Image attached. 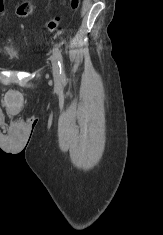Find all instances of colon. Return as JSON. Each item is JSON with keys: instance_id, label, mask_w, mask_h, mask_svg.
Instances as JSON below:
<instances>
[{"instance_id": "1", "label": "colon", "mask_w": 163, "mask_h": 235, "mask_svg": "<svg viewBox=\"0 0 163 235\" xmlns=\"http://www.w3.org/2000/svg\"><path fill=\"white\" fill-rule=\"evenodd\" d=\"M69 6L73 10H77L80 4V0H68ZM34 10V5L32 2H24L20 4L16 8V15L18 17H27L29 16ZM4 11V1L0 0V14ZM61 19L59 16H55L51 18L46 24H45V30L47 31H54L60 24Z\"/></svg>"}]
</instances>
